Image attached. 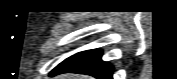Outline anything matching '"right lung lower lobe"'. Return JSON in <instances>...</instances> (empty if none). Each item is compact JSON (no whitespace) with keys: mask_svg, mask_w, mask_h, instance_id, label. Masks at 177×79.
<instances>
[{"mask_svg":"<svg viewBox=\"0 0 177 79\" xmlns=\"http://www.w3.org/2000/svg\"><path fill=\"white\" fill-rule=\"evenodd\" d=\"M101 55L102 51L97 49L77 53L60 63L50 76L73 72L88 74L98 79H112L113 67L101 61Z\"/></svg>","mask_w":177,"mask_h":79,"instance_id":"right-lung-lower-lobe-1","label":"right lung lower lobe"}]
</instances>
